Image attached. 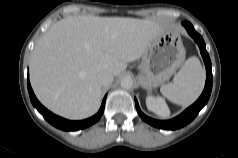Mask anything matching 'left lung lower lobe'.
Masks as SVG:
<instances>
[{
    "label": "left lung lower lobe",
    "instance_id": "1",
    "mask_svg": "<svg viewBox=\"0 0 238 158\" xmlns=\"http://www.w3.org/2000/svg\"><path fill=\"white\" fill-rule=\"evenodd\" d=\"M183 26L186 28L189 35L196 41L200 48L201 55L204 59L205 67H206V84L203 93L201 94L200 98L189 108H187L183 113L179 116L167 120V121H160L152 119L145 114L139 108L138 102L135 99L136 109L139 116L147 123L157 128L168 129V130H175L179 129L188 123H190L199 113V111L204 107V105L208 102L211 90H212V66L209 55L206 51V46L203 38L195 31L192 24L189 22H183Z\"/></svg>",
    "mask_w": 238,
    "mask_h": 158
}]
</instances>
